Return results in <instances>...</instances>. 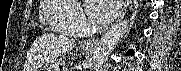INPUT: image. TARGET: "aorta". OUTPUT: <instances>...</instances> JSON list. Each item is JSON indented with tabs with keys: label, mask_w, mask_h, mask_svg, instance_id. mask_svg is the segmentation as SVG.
<instances>
[{
	"label": "aorta",
	"mask_w": 181,
	"mask_h": 71,
	"mask_svg": "<svg viewBox=\"0 0 181 71\" xmlns=\"http://www.w3.org/2000/svg\"><path fill=\"white\" fill-rule=\"evenodd\" d=\"M129 25L130 21L126 19L112 27L100 38L90 61L92 71L103 70L109 54L129 30Z\"/></svg>",
	"instance_id": "aorta-1"
}]
</instances>
